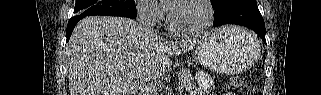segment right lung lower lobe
I'll list each match as a JSON object with an SVG mask.
<instances>
[{
	"label": "right lung lower lobe",
	"mask_w": 321,
	"mask_h": 95,
	"mask_svg": "<svg viewBox=\"0 0 321 95\" xmlns=\"http://www.w3.org/2000/svg\"><path fill=\"white\" fill-rule=\"evenodd\" d=\"M82 18L84 17H72L69 22H68V25H67V32H66V35H67V41L70 39V35L73 31V28L75 27V25L77 24V22L79 20H81Z\"/></svg>",
	"instance_id": "obj_1"
}]
</instances>
